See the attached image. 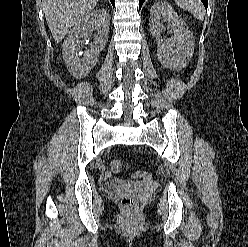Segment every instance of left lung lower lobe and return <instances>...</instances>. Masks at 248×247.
Listing matches in <instances>:
<instances>
[{
    "mask_svg": "<svg viewBox=\"0 0 248 247\" xmlns=\"http://www.w3.org/2000/svg\"><path fill=\"white\" fill-rule=\"evenodd\" d=\"M145 0H139V9H141L142 7V4L144 3ZM207 10V7H208V0H201Z\"/></svg>",
    "mask_w": 248,
    "mask_h": 247,
    "instance_id": "left-lung-lower-lobe-1",
    "label": "left lung lower lobe"
}]
</instances>
